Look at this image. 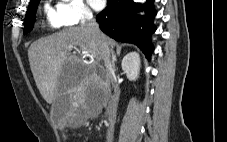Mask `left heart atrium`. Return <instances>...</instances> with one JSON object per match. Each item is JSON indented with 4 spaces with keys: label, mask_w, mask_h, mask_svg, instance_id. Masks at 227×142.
Listing matches in <instances>:
<instances>
[{
    "label": "left heart atrium",
    "mask_w": 227,
    "mask_h": 142,
    "mask_svg": "<svg viewBox=\"0 0 227 142\" xmlns=\"http://www.w3.org/2000/svg\"><path fill=\"white\" fill-rule=\"evenodd\" d=\"M107 0H88V3L95 10H101L106 6Z\"/></svg>",
    "instance_id": "39dd6f15"
}]
</instances>
